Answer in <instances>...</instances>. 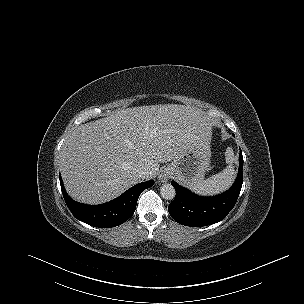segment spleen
Wrapping results in <instances>:
<instances>
[{
	"instance_id": "3e777b00",
	"label": "spleen",
	"mask_w": 304,
	"mask_h": 304,
	"mask_svg": "<svg viewBox=\"0 0 304 304\" xmlns=\"http://www.w3.org/2000/svg\"><path fill=\"white\" fill-rule=\"evenodd\" d=\"M226 162L229 164L223 171L212 175L206 180L201 181L192 190L200 195H213L226 190L233 183L235 170L233 163L235 161L232 149H227L225 153Z\"/></svg>"
}]
</instances>
